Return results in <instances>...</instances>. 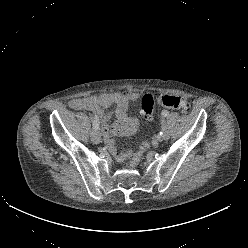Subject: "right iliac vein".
I'll list each match as a JSON object with an SVG mask.
<instances>
[{
    "label": "right iliac vein",
    "mask_w": 248,
    "mask_h": 248,
    "mask_svg": "<svg viewBox=\"0 0 248 248\" xmlns=\"http://www.w3.org/2000/svg\"><path fill=\"white\" fill-rule=\"evenodd\" d=\"M91 140L95 143L98 144L101 141V136L100 133L97 130H93L91 132Z\"/></svg>",
    "instance_id": "63e3f726"
}]
</instances>
